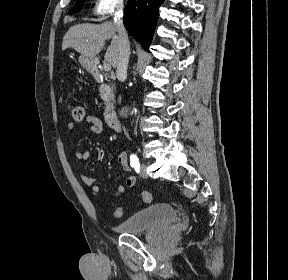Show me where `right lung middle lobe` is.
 Masks as SVG:
<instances>
[{
    "label": "right lung middle lobe",
    "instance_id": "1",
    "mask_svg": "<svg viewBox=\"0 0 288 280\" xmlns=\"http://www.w3.org/2000/svg\"><path fill=\"white\" fill-rule=\"evenodd\" d=\"M83 3H84V0H78L76 6L69 11V14L80 11V9L83 6Z\"/></svg>",
    "mask_w": 288,
    "mask_h": 280
}]
</instances>
